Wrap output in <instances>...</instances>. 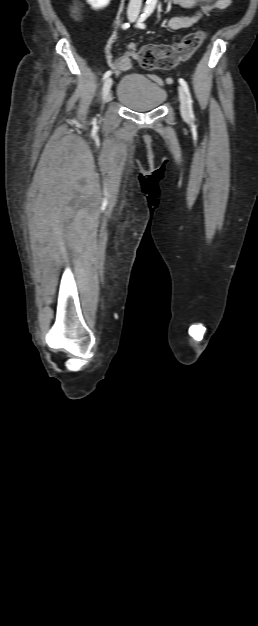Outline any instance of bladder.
I'll return each instance as SVG.
<instances>
[{
  "mask_svg": "<svg viewBox=\"0 0 258 626\" xmlns=\"http://www.w3.org/2000/svg\"><path fill=\"white\" fill-rule=\"evenodd\" d=\"M116 98L131 111L149 112L164 104L167 93L146 76L130 75L118 83Z\"/></svg>",
  "mask_w": 258,
  "mask_h": 626,
  "instance_id": "1",
  "label": "bladder"
}]
</instances>
